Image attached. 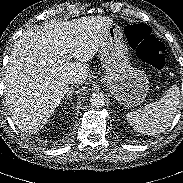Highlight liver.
<instances>
[{
	"mask_svg": "<svg viewBox=\"0 0 183 183\" xmlns=\"http://www.w3.org/2000/svg\"><path fill=\"white\" fill-rule=\"evenodd\" d=\"M112 24L108 16L51 20L19 37L6 66L4 86L6 104L19 129L37 133L46 124L69 90V75L76 73L85 82L86 62L97 53ZM72 58L76 62H70Z\"/></svg>",
	"mask_w": 183,
	"mask_h": 183,
	"instance_id": "liver-1",
	"label": "liver"
}]
</instances>
